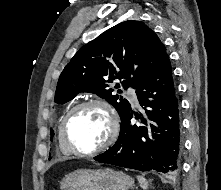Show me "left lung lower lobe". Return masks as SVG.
<instances>
[{"instance_id":"0a47b994","label":"left lung lower lobe","mask_w":221,"mask_h":190,"mask_svg":"<svg viewBox=\"0 0 221 190\" xmlns=\"http://www.w3.org/2000/svg\"><path fill=\"white\" fill-rule=\"evenodd\" d=\"M136 94L144 106L141 113L135 114L141 125H131L130 109L121 119L114 146L94 159L140 171L179 173L182 153L179 101L168 55L138 86Z\"/></svg>"}]
</instances>
